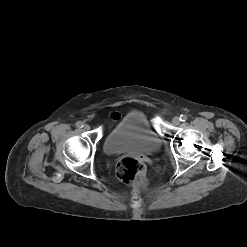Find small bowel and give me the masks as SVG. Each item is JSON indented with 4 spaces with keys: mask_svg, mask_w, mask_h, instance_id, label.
<instances>
[{
    "mask_svg": "<svg viewBox=\"0 0 247 247\" xmlns=\"http://www.w3.org/2000/svg\"><path fill=\"white\" fill-rule=\"evenodd\" d=\"M118 117H119L118 114H114V115H113V118H114V119H118Z\"/></svg>",
    "mask_w": 247,
    "mask_h": 247,
    "instance_id": "small-bowel-1",
    "label": "small bowel"
}]
</instances>
